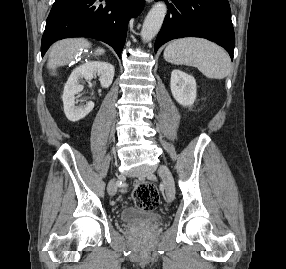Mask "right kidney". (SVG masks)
<instances>
[{
	"label": "right kidney",
	"instance_id": "right-kidney-1",
	"mask_svg": "<svg viewBox=\"0 0 286 269\" xmlns=\"http://www.w3.org/2000/svg\"><path fill=\"white\" fill-rule=\"evenodd\" d=\"M96 74L100 76L101 86L108 88L113 81L114 66L106 62L94 61L81 65L71 73L62 96L64 112L68 120L72 122L79 121L93 110L94 103L92 101L76 106L75 96L83 89L80 80H91Z\"/></svg>",
	"mask_w": 286,
	"mask_h": 269
}]
</instances>
